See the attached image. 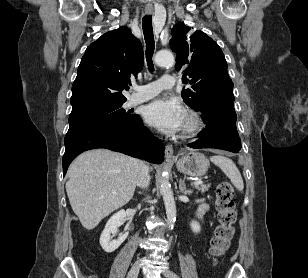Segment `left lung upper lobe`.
I'll return each instance as SVG.
<instances>
[{"instance_id": "1", "label": "left lung upper lobe", "mask_w": 308, "mask_h": 278, "mask_svg": "<svg viewBox=\"0 0 308 278\" xmlns=\"http://www.w3.org/2000/svg\"><path fill=\"white\" fill-rule=\"evenodd\" d=\"M191 28L177 23L172 29L170 48L176 53V70L182 81L191 86L182 91L184 101L201 111L220 100H233V82L227 62L217 43L202 31L190 34Z\"/></svg>"}]
</instances>
